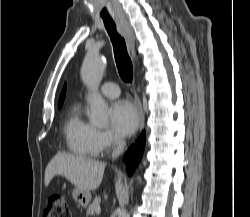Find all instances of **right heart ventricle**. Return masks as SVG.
Here are the masks:
<instances>
[{"label": "right heart ventricle", "mask_w": 250, "mask_h": 217, "mask_svg": "<svg viewBox=\"0 0 250 217\" xmlns=\"http://www.w3.org/2000/svg\"><path fill=\"white\" fill-rule=\"evenodd\" d=\"M95 133L96 128L82 117L80 105H72L63 124V135L68 150L83 157L95 156Z\"/></svg>", "instance_id": "right-heart-ventricle-1"}]
</instances>
